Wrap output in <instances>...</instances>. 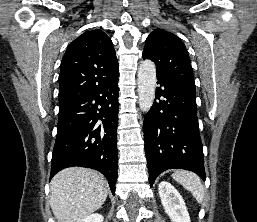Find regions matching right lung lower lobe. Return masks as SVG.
Here are the masks:
<instances>
[{
	"instance_id": "1",
	"label": "right lung lower lobe",
	"mask_w": 257,
	"mask_h": 222,
	"mask_svg": "<svg viewBox=\"0 0 257 222\" xmlns=\"http://www.w3.org/2000/svg\"><path fill=\"white\" fill-rule=\"evenodd\" d=\"M118 76L119 72L94 91L59 107L50 178L72 166L96 169L107 178L115 195Z\"/></svg>"
}]
</instances>
